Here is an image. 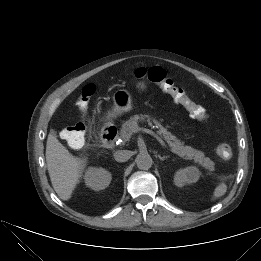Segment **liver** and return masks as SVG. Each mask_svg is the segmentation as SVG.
Listing matches in <instances>:
<instances>
[{
  "mask_svg": "<svg viewBox=\"0 0 261 261\" xmlns=\"http://www.w3.org/2000/svg\"><path fill=\"white\" fill-rule=\"evenodd\" d=\"M46 162L52 186L62 200H69L79 183L86 161L73 156L52 133L46 144Z\"/></svg>",
  "mask_w": 261,
  "mask_h": 261,
  "instance_id": "obj_1",
  "label": "liver"
}]
</instances>
